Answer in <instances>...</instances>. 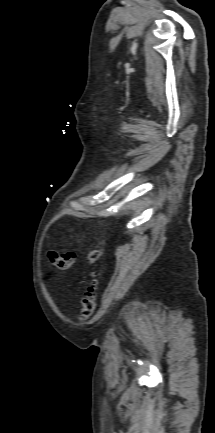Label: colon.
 <instances>
[{"mask_svg":"<svg viewBox=\"0 0 215 433\" xmlns=\"http://www.w3.org/2000/svg\"><path fill=\"white\" fill-rule=\"evenodd\" d=\"M100 256H101V252L99 250H93L88 253L87 262L90 265H94L98 262ZM48 258L52 263V265L55 266L57 269L66 271L73 266L76 260V254L74 252L60 253L58 251L51 250L48 253ZM97 288H98V281L96 278V274L93 273L92 279L88 287L84 291L81 299V308L78 314L79 321L85 322L92 316L96 306Z\"/></svg>","mask_w":215,"mask_h":433,"instance_id":"obj_1","label":"colon"}]
</instances>
